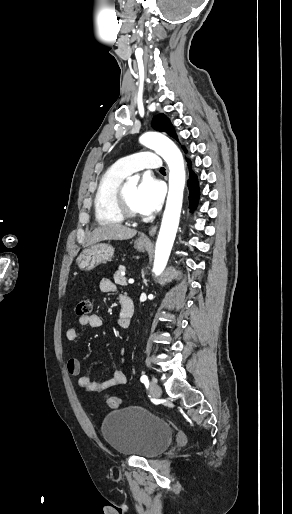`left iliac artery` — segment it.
Listing matches in <instances>:
<instances>
[{"label": "left iliac artery", "mask_w": 292, "mask_h": 514, "mask_svg": "<svg viewBox=\"0 0 292 514\" xmlns=\"http://www.w3.org/2000/svg\"><path fill=\"white\" fill-rule=\"evenodd\" d=\"M140 381H141L142 383H145V384H146V383H148V377H147L146 375H142V376H141V378H140Z\"/></svg>", "instance_id": "1"}]
</instances>
